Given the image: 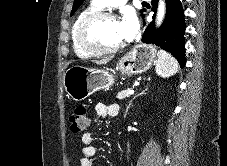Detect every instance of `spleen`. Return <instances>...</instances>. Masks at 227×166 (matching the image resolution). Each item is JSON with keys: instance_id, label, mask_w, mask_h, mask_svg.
<instances>
[{"instance_id": "obj_1", "label": "spleen", "mask_w": 227, "mask_h": 166, "mask_svg": "<svg viewBox=\"0 0 227 166\" xmlns=\"http://www.w3.org/2000/svg\"><path fill=\"white\" fill-rule=\"evenodd\" d=\"M157 56L158 60L155 67L157 75L163 78H168L178 72L179 65L170 53L164 50H159Z\"/></svg>"}]
</instances>
